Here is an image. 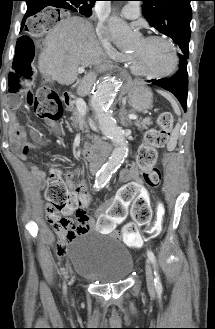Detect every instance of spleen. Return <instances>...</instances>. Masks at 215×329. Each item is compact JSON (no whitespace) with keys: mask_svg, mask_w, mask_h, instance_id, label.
Returning a JSON list of instances; mask_svg holds the SVG:
<instances>
[{"mask_svg":"<svg viewBox=\"0 0 215 329\" xmlns=\"http://www.w3.org/2000/svg\"><path fill=\"white\" fill-rule=\"evenodd\" d=\"M160 94H162L171 103L174 112L177 115H180L181 112H180L179 106H178L176 100L174 99V97L171 94L164 92V91H160ZM179 129H180V124L178 123L176 125L174 131L172 132L171 139L168 144V150H170V151L174 150V148L176 147Z\"/></svg>","mask_w":215,"mask_h":329,"instance_id":"3e777b00","label":"spleen"}]
</instances>
